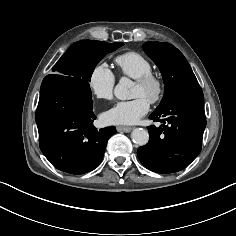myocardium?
Returning <instances> with one entry per match:
<instances>
[{"mask_svg":"<svg viewBox=\"0 0 236 236\" xmlns=\"http://www.w3.org/2000/svg\"><path fill=\"white\" fill-rule=\"evenodd\" d=\"M136 83L142 87L152 90L149 102L155 104L159 102L165 91V84L161 76L153 72L146 73L135 79Z\"/></svg>","mask_w":236,"mask_h":236,"instance_id":"obj_1","label":"myocardium"}]
</instances>
